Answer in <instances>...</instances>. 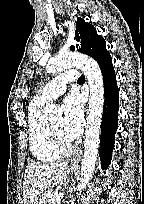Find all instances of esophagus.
<instances>
[{"instance_id": "esophagus-1", "label": "esophagus", "mask_w": 144, "mask_h": 204, "mask_svg": "<svg viewBox=\"0 0 144 204\" xmlns=\"http://www.w3.org/2000/svg\"><path fill=\"white\" fill-rule=\"evenodd\" d=\"M82 154H83L82 150H79L76 156L74 157V159L72 160V163H71L72 169L78 168L80 160L82 158Z\"/></svg>"}]
</instances>
